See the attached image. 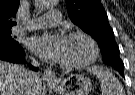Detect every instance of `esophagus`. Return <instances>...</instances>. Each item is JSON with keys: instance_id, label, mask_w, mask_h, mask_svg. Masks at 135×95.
Wrapping results in <instances>:
<instances>
[{"instance_id": "esophagus-1", "label": "esophagus", "mask_w": 135, "mask_h": 95, "mask_svg": "<svg viewBox=\"0 0 135 95\" xmlns=\"http://www.w3.org/2000/svg\"><path fill=\"white\" fill-rule=\"evenodd\" d=\"M43 78H44L45 81H47L49 83H54V82L58 81L56 74L50 69L44 70Z\"/></svg>"}]
</instances>
